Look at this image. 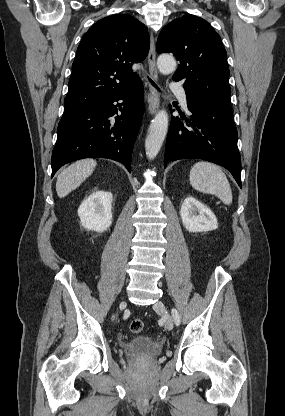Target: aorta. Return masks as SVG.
<instances>
[{"instance_id":"obj_1","label":"aorta","mask_w":285,"mask_h":416,"mask_svg":"<svg viewBox=\"0 0 285 416\" xmlns=\"http://www.w3.org/2000/svg\"><path fill=\"white\" fill-rule=\"evenodd\" d=\"M157 66L162 74H170L176 69V61L171 55H160ZM168 130V114L165 110L159 111L152 120L145 140L147 157L154 159L159 153Z\"/></svg>"}]
</instances>
